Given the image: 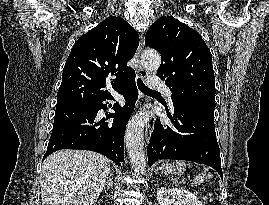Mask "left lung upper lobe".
Here are the masks:
<instances>
[{"label": "left lung upper lobe", "mask_w": 269, "mask_h": 205, "mask_svg": "<svg viewBox=\"0 0 269 205\" xmlns=\"http://www.w3.org/2000/svg\"><path fill=\"white\" fill-rule=\"evenodd\" d=\"M145 45L161 54L157 75L166 79L173 104L215 103L212 55L197 31L172 16H163L150 26Z\"/></svg>", "instance_id": "1"}]
</instances>
